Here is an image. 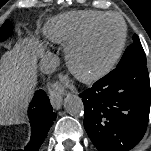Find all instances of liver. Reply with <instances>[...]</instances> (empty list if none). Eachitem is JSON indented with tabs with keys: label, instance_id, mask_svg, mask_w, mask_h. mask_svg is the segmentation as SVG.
I'll use <instances>...</instances> for the list:
<instances>
[{
	"label": "liver",
	"instance_id": "liver-1",
	"mask_svg": "<svg viewBox=\"0 0 151 151\" xmlns=\"http://www.w3.org/2000/svg\"><path fill=\"white\" fill-rule=\"evenodd\" d=\"M43 48L33 39H23L0 60V120L19 116L37 83V54Z\"/></svg>",
	"mask_w": 151,
	"mask_h": 151
}]
</instances>
